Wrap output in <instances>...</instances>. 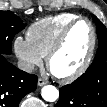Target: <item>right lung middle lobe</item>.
I'll use <instances>...</instances> for the list:
<instances>
[{
    "mask_svg": "<svg viewBox=\"0 0 107 107\" xmlns=\"http://www.w3.org/2000/svg\"><path fill=\"white\" fill-rule=\"evenodd\" d=\"M25 26L26 24L11 11H0V54L9 55L12 53V39Z\"/></svg>",
    "mask_w": 107,
    "mask_h": 107,
    "instance_id": "dd1d6c3e",
    "label": "right lung middle lobe"
}]
</instances>
